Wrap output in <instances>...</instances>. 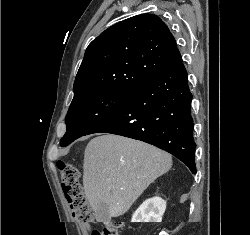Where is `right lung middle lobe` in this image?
<instances>
[{
  "label": "right lung middle lobe",
  "mask_w": 250,
  "mask_h": 235,
  "mask_svg": "<svg viewBox=\"0 0 250 235\" xmlns=\"http://www.w3.org/2000/svg\"><path fill=\"white\" fill-rule=\"evenodd\" d=\"M133 92L94 91L72 100L66 115L67 131L60 145L67 146L115 113Z\"/></svg>",
  "instance_id": "obj_1"
}]
</instances>
